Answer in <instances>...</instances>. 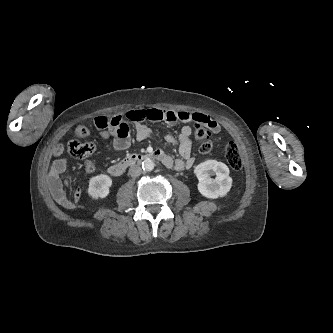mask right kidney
<instances>
[{
  "instance_id": "right-kidney-1",
  "label": "right kidney",
  "mask_w": 333,
  "mask_h": 333,
  "mask_svg": "<svg viewBox=\"0 0 333 333\" xmlns=\"http://www.w3.org/2000/svg\"><path fill=\"white\" fill-rule=\"evenodd\" d=\"M112 179L106 174H100L89 180L88 194L93 199L105 198L109 194Z\"/></svg>"
}]
</instances>
